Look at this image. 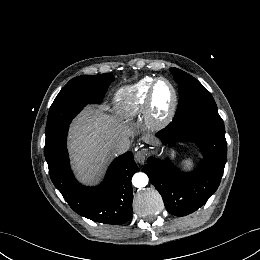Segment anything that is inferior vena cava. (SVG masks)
<instances>
[{"label": "inferior vena cava", "mask_w": 260, "mask_h": 260, "mask_svg": "<svg viewBox=\"0 0 260 260\" xmlns=\"http://www.w3.org/2000/svg\"><path fill=\"white\" fill-rule=\"evenodd\" d=\"M130 148V139L127 135H120L118 138L114 141L112 145V149L117 154H123L127 152Z\"/></svg>", "instance_id": "1"}]
</instances>
